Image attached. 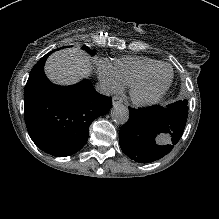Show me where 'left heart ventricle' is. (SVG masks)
Segmentation results:
<instances>
[{"label":"left heart ventricle","mask_w":219,"mask_h":219,"mask_svg":"<svg viewBox=\"0 0 219 219\" xmlns=\"http://www.w3.org/2000/svg\"><path fill=\"white\" fill-rule=\"evenodd\" d=\"M170 77V71L166 67L157 69L146 81V83L140 87L137 91L138 96L142 98H149L156 95L162 90Z\"/></svg>","instance_id":"1"}]
</instances>
